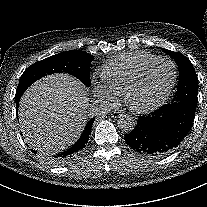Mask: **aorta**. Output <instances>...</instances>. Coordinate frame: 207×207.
Listing matches in <instances>:
<instances>
[{
  "label": "aorta",
  "mask_w": 207,
  "mask_h": 207,
  "mask_svg": "<svg viewBox=\"0 0 207 207\" xmlns=\"http://www.w3.org/2000/svg\"><path fill=\"white\" fill-rule=\"evenodd\" d=\"M118 128L125 133H130L135 128V120L129 115H122L117 121Z\"/></svg>",
  "instance_id": "obj_1"
}]
</instances>
